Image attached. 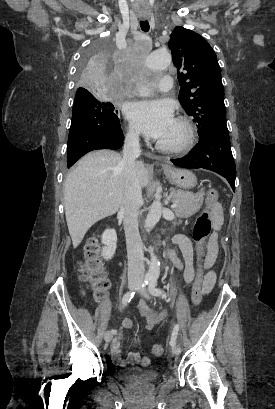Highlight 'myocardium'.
<instances>
[{"instance_id":"1","label":"myocardium","mask_w":275,"mask_h":409,"mask_svg":"<svg viewBox=\"0 0 275 409\" xmlns=\"http://www.w3.org/2000/svg\"><path fill=\"white\" fill-rule=\"evenodd\" d=\"M174 122L182 128V137L174 144H165L154 141L157 150L164 153H180L192 144L194 139V128L192 123L184 117L175 118Z\"/></svg>"}]
</instances>
